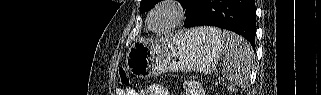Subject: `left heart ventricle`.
Wrapping results in <instances>:
<instances>
[{
    "label": "left heart ventricle",
    "instance_id": "obj_1",
    "mask_svg": "<svg viewBox=\"0 0 321 95\" xmlns=\"http://www.w3.org/2000/svg\"><path fill=\"white\" fill-rule=\"evenodd\" d=\"M169 20H170L169 13H168V11H165V12H162L161 14H159L155 18L153 25L156 28H162L168 24Z\"/></svg>",
    "mask_w": 321,
    "mask_h": 95
}]
</instances>
